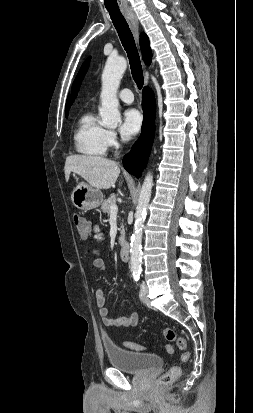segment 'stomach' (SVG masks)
Instances as JSON below:
<instances>
[{
    "label": "stomach",
    "instance_id": "stomach-1",
    "mask_svg": "<svg viewBox=\"0 0 253 413\" xmlns=\"http://www.w3.org/2000/svg\"><path fill=\"white\" fill-rule=\"evenodd\" d=\"M73 205L79 209H95L103 202V193L85 182H80L71 194Z\"/></svg>",
    "mask_w": 253,
    "mask_h": 413
}]
</instances>
